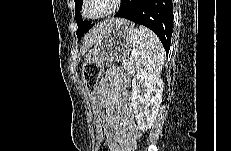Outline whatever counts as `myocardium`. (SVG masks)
Returning <instances> with one entry per match:
<instances>
[{"label": "myocardium", "instance_id": "f54148a6", "mask_svg": "<svg viewBox=\"0 0 231 151\" xmlns=\"http://www.w3.org/2000/svg\"><path fill=\"white\" fill-rule=\"evenodd\" d=\"M94 0H84L82 4L81 13L85 19L99 20L114 14L121 3V0H105V9L101 12L91 13L89 8L93 5Z\"/></svg>", "mask_w": 231, "mask_h": 151}]
</instances>
